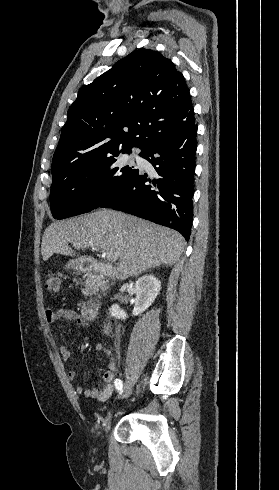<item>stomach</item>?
I'll return each instance as SVG.
<instances>
[{"instance_id":"obj_1","label":"stomach","mask_w":279,"mask_h":490,"mask_svg":"<svg viewBox=\"0 0 279 490\" xmlns=\"http://www.w3.org/2000/svg\"><path fill=\"white\" fill-rule=\"evenodd\" d=\"M65 270H77V264L75 260H70L65 266Z\"/></svg>"}]
</instances>
